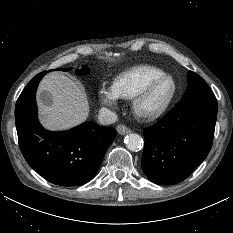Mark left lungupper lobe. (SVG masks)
<instances>
[{"mask_svg":"<svg viewBox=\"0 0 233 233\" xmlns=\"http://www.w3.org/2000/svg\"><path fill=\"white\" fill-rule=\"evenodd\" d=\"M188 86L182 98L192 94L211 91L209 86L205 83L204 79L198 74L189 71L187 74Z\"/></svg>","mask_w":233,"mask_h":233,"instance_id":"1","label":"left lung upper lobe"}]
</instances>
